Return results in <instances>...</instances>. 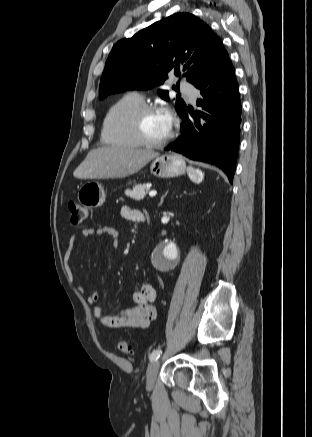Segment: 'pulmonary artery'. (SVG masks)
Here are the masks:
<instances>
[{"label":"pulmonary artery","instance_id":"obj_1","mask_svg":"<svg viewBox=\"0 0 312 437\" xmlns=\"http://www.w3.org/2000/svg\"><path fill=\"white\" fill-rule=\"evenodd\" d=\"M181 88L183 89V91L186 93V95L189 97L191 102H195L196 96H197V90L191 86H189L186 83H181ZM140 99H142V97L140 95H137Z\"/></svg>","mask_w":312,"mask_h":437}]
</instances>
